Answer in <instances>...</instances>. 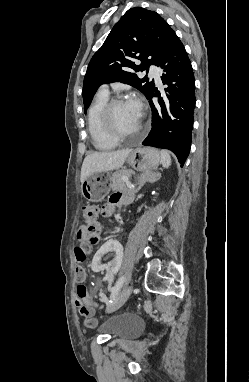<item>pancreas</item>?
I'll list each match as a JSON object with an SVG mask.
<instances>
[{
    "instance_id": "obj_1",
    "label": "pancreas",
    "mask_w": 249,
    "mask_h": 382,
    "mask_svg": "<svg viewBox=\"0 0 249 382\" xmlns=\"http://www.w3.org/2000/svg\"><path fill=\"white\" fill-rule=\"evenodd\" d=\"M131 173L132 172L130 170H126V169H122L113 173L111 178V183H110L111 189L112 190L125 189L126 188L125 182L122 180V178L130 177Z\"/></svg>"
}]
</instances>
